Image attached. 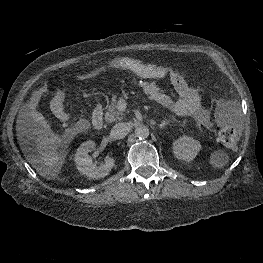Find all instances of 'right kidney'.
Wrapping results in <instances>:
<instances>
[{
  "instance_id": "right-kidney-1",
  "label": "right kidney",
  "mask_w": 263,
  "mask_h": 263,
  "mask_svg": "<svg viewBox=\"0 0 263 263\" xmlns=\"http://www.w3.org/2000/svg\"><path fill=\"white\" fill-rule=\"evenodd\" d=\"M96 144L94 141H86L82 143L76 151L75 163L79 172L88 178L100 179L108 175L114 166L113 158H106L104 164L97 167L95 163L92 162V158L89 152L94 151Z\"/></svg>"
}]
</instances>
